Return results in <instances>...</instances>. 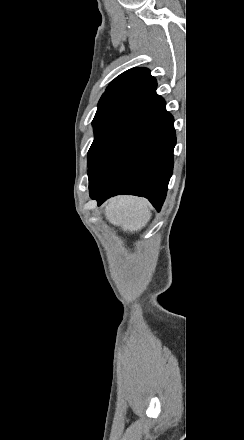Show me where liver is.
Listing matches in <instances>:
<instances>
[{"label":"liver","mask_w":244,"mask_h":440,"mask_svg":"<svg viewBox=\"0 0 244 440\" xmlns=\"http://www.w3.org/2000/svg\"><path fill=\"white\" fill-rule=\"evenodd\" d=\"M105 218L112 226H120L122 232H139L150 222L151 212L145 198L116 196L105 204Z\"/></svg>","instance_id":"6515ba94"}]
</instances>
